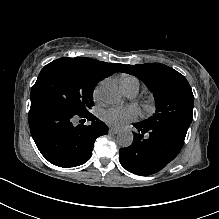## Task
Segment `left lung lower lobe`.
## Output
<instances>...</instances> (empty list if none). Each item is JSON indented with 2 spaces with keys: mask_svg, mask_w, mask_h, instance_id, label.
<instances>
[{
  "mask_svg": "<svg viewBox=\"0 0 219 219\" xmlns=\"http://www.w3.org/2000/svg\"><path fill=\"white\" fill-rule=\"evenodd\" d=\"M133 125L138 133H134L130 146L119 150V160L134 174L148 176L159 172L179 154L184 144L186 135L177 130L155 128L142 122Z\"/></svg>",
  "mask_w": 219,
  "mask_h": 219,
  "instance_id": "1",
  "label": "left lung lower lobe"
}]
</instances>
